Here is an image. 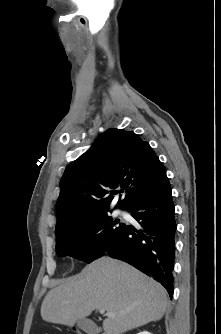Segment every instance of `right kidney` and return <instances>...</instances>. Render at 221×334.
I'll return each instance as SVG.
<instances>
[{
  "label": "right kidney",
  "mask_w": 221,
  "mask_h": 334,
  "mask_svg": "<svg viewBox=\"0 0 221 334\" xmlns=\"http://www.w3.org/2000/svg\"><path fill=\"white\" fill-rule=\"evenodd\" d=\"M138 334H152V333H150V332H148V331H142V332H140V333H138Z\"/></svg>",
  "instance_id": "right-kidney-1"
}]
</instances>
